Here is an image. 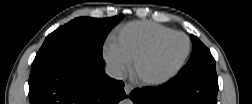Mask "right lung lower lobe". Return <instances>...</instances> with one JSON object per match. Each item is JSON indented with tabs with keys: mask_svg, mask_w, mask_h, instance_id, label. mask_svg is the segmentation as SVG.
<instances>
[{
	"mask_svg": "<svg viewBox=\"0 0 252 104\" xmlns=\"http://www.w3.org/2000/svg\"><path fill=\"white\" fill-rule=\"evenodd\" d=\"M104 60L80 50L35 58L29 78L31 104H117L124 83L104 71Z\"/></svg>",
	"mask_w": 252,
	"mask_h": 104,
	"instance_id": "obj_1",
	"label": "right lung lower lobe"
}]
</instances>
